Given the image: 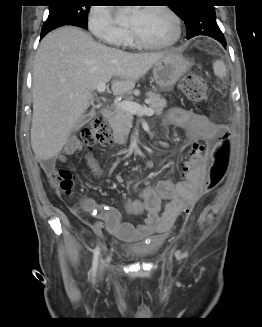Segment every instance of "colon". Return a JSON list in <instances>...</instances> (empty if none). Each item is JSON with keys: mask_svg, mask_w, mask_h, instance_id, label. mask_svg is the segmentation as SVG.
I'll return each mask as SVG.
<instances>
[{"mask_svg": "<svg viewBox=\"0 0 262 327\" xmlns=\"http://www.w3.org/2000/svg\"><path fill=\"white\" fill-rule=\"evenodd\" d=\"M179 87L186 97L194 103H202L207 99V84L205 79L195 73H189L180 80ZM83 147L107 146L111 143V133L104 117H96L80 134ZM204 152L202 145H194L190 153ZM206 152V151H205ZM231 154V135L225 126H218L216 143L208 152V169L204 184V193L215 189L224 180L227 173ZM51 188L57 194L70 195L73 193V177L67 170H57L50 175ZM200 199V198H199ZM189 199L182 210L189 216L199 200Z\"/></svg>", "mask_w": 262, "mask_h": 327, "instance_id": "obj_1", "label": "colon"}]
</instances>
